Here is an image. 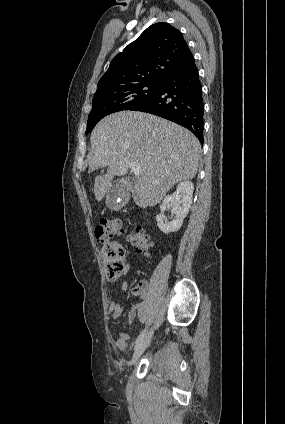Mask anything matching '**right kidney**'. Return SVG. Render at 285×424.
<instances>
[{
  "label": "right kidney",
  "instance_id": "obj_1",
  "mask_svg": "<svg viewBox=\"0 0 285 424\" xmlns=\"http://www.w3.org/2000/svg\"><path fill=\"white\" fill-rule=\"evenodd\" d=\"M193 191V183L184 181L177 186L175 193L164 198L160 206L161 213L156 216L157 225L161 232L168 234L181 228L192 204ZM169 205L173 206L172 213L175 214L174 219L170 222L167 221L164 215V211Z\"/></svg>",
  "mask_w": 285,
  "mask_h": 424
}]
</instances>
